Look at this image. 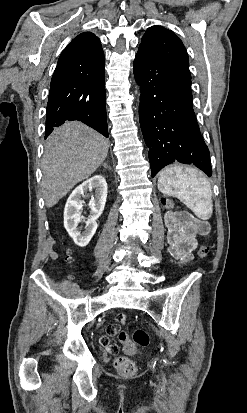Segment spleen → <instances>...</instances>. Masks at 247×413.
Returning <instances> with one entry per match:
<instances>
[{
	"label": "spleen",
	"instance_id": "3e777b00",
	"mask_svg": "<svg viewBox=\"0 0 247 413\" xmlns=\"http://www.w3.org/2000/svg\"><path fill=\"white\" fill-rule=\"evenodd\" d=\"M158 188L168 196H177L199 219H209L212 192L209 180L198 168L168 166L160 172Z\"/></svg>",
	"mask_w": 247,
	"mask_h": 413
}]
</instances>
